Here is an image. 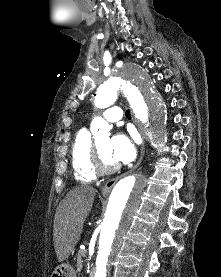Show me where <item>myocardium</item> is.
Segmentation results:
<instances>
[{"label": "myocardium", "instance_id": "obj_1", "mask_svg": "<svg viewBox=\"0 0 221 277\" xmlns=\"http://www.w3.org/2000/svg\"><path fill=\"white\" fill-rule=\"evenodd\" d=\"M92 166L94 171L99 175L112 174L120 168L118 163L108 166L103 162L100 150L96 143H93L92 147Z\"/></svg>", "mask_w": 221, "mask_h": 277}]
</instances>
